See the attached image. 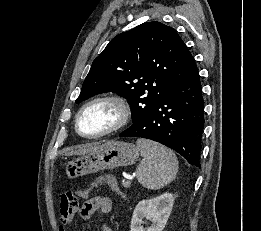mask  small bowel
<instances>
[{"mask_svg":"<svg viewBox=\"0 0 261 231\" xmlns=\"http://www.w3.org/2000/svg\"><path fill=\"white\" fill-rule=\"evenodd\" d=\"M108 179H111L113 181V179L110 176L106 175L96 178L93 184L96 186L103 184L107 185ZM114 190H116V187ZM80 194L81 198L86 199V201L83 203L82 207L79 210V215L83 219H88L96 213L107 214L112 210V200L110 198L104 196H95L92 198H88V193H84L82 190H80ZM60 223V231H65L64 226L69 223V220H65L62 217H60ZM102 231H112V229L106 225H103Z\"/></svg>","mask_w":261,"mask_h":231,"instance_id":"c3829d8e","label":"small bowel"}]
</instances>
